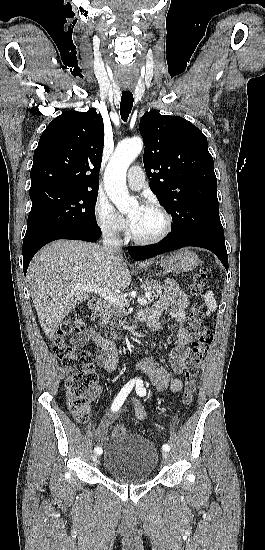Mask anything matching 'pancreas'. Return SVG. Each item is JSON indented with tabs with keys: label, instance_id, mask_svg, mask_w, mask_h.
<instances>
[{
	"label": "pancreas",
	"instance_id": "obj_1",
	"mask_svg": "<svg viewBox=\"0 0 265 550\" xmlns=\"http://www.w3.org/2000/svg\"><path fill=\"white\" fill-rule=\"evenodd\" d=\"M142 287L145 291L150 293V297L148 298L149 302H154V300L162 294L163 286L157 280L146 281ZM124 314V306H119L109 301H105L96 316L100 318V323L102 325L107 326L108 324L113 325L117 322H121V318ZM118 330H120V326H118ZM116 336L117 334L114 333V337Z\"/></svg>",
	"mask_w": 265,
	"mask_h": 550
}]
</instances>
